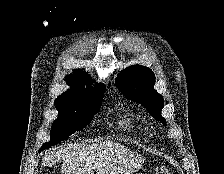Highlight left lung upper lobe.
<instances>
[{"mask_svg": "<svg viewBox=\"0 0 224 174\" xmlns=\"http://www.w3.org/2000/svg\"><path fill=\"white\" fill-rule=\"evenodd\" d=\"M116 85L123 95L141 103L156 120L166 125V120L161 116L164 100L154 90L155 75L149 68L129 66L119 73Z\"/></svg>", "mask_w": 224, "mask_h": 174, "instance_id": "obj_1", "label": "left lung upper lobe"}]
</instances>
